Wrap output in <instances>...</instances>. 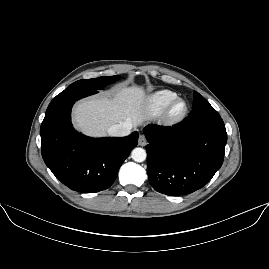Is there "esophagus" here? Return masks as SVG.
<instances>
[{
	"instance_id": "34e87169",
	"label": "esophagus",
	"mask_w": 269,
	"mask_h": 269,
	"mask_svg": "<svg viewBox=\"0 0 269 269\" xmlns=\"http://www.w3.org/2000/svg\"><path fill=\"white\" fill-rule=\"evenodd\" d=\"M147 144V140L144 135H140L138 139V145L144 147Z\"/></svg>"
}]
</instances>
